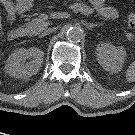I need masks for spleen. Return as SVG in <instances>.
I'll list each match as a JSON object with an SVG mask.
<instances>
[{"label":"spleen","mask_w":135,"mask_h":135,"mask_svg":"<svg viewBox=\"0 0 135 135\" xmlns=\"http://www.w3.org/2000/svg\"><path fill=\"white\" fill-rule=\"evenodd\" d=\"M126 82L133 83L135 82V62L131 63L126 70Z\"/></svg>","instance_id":"spleen-1"}]
</instances>
